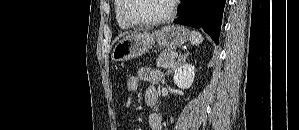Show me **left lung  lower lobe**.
I'll return each mask as SVG.
<instances>
[{"instance_id":"1","label":"left lung lower lobe","mask_w":299,"mask_h":130,"mask_svg":"<svg viewBox=\"0 0 299 130\" xmlns=\"http://www.w3.org/2000/svg\"><path fill=\"white\" fill-rule=\"evenodd\" d=\"M226 0H182L178 7V24L203 28V30L219 43L223 10Z\"/></svg>"}]
</instances>
